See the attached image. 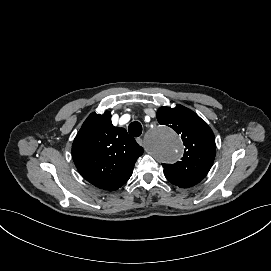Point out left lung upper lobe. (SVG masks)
Segmentation results:
<instances>
[{"instance_id":"left-lung-upper-lobe-1","label":"left lung upper lobe","mask_w":271,"mask_h":271,"mask_svg":"<svg viewBox=\"0 0 271 271\" xmlns=\"http://www.w3.org/2000/svg\"><path fill=\"white\" fill-rule=\"evenodd\" d=\"M157 120L180 134L185 146L181 161L162 164L166 178L181 188L196 185L214 162L216 144L211 128L195 112L179 104L161 107Z\"/></svg>"}]
</instances>
